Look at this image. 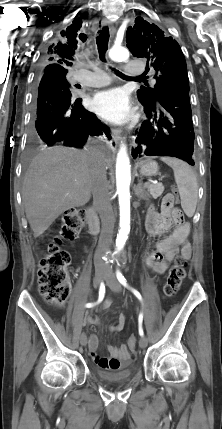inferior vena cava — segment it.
<instances>
[{
	"mask_svg": "<svg viewBox=\"0 0 222 429\" xmlns=\"http://www.w3.org/2000/svg\"><path fill=\"white\" fill-rule=\"evenodd\" d=\"M94 158L92 176L93 203L100 215L102 222L101 234L95 252L94 260L98 261L106 253L111 245L115 216L111 205V193L106 176V167L100 153L92 152Z\"/></svg>",
	"mask_w": 222,
	"mask_h": 429,
	"instance_id": "inferior-vena-cava-1",
	"label": "inferior vena cava"
}]
</instances>
